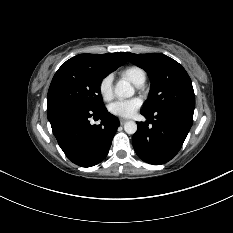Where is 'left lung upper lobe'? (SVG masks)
Here are the masks:
<instances>
[{
  "instance_id": "left-lung-upper-lobe-1",
  "label": "left lung upper lobe",
  "mask_w": 233,
  "mask_h": 233,
  "mask_svg": "<svg viewBox=\"0 0 233 233\" xmlns=\"http://www.w3.org/2000/svg\"><path fill=\"white\" fill-rule=\"evenodd\" d=\"M124 56L134 65L143 68L150 78L152 90L142 110L155 113L160 110L179 109L194 113V90L182 65L161 53H124Z\"/></svg>"
}]
</instances>
